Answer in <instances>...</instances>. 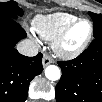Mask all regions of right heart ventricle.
I'll list each match as a JSON object with an SVG mask.
<instances>
[{
    "instance_id": "e07e8e85",
    "label": "right heart ventricle",
    "mask_w": 102,
    "mask_h": 102,
    "mask_svg": "<svg viewBox=\"0 0 102 102\" xmlns=\"http://www.w3.org/2000/svg\"><path fill=\"white\" fill-rule=\"evenodd\" d=\"M76 20V16L62 12L38 15L33 20V29L44 40L53 41Z\"/></svg>"
}]
</instances>
